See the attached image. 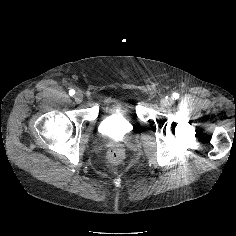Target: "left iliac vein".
I'll use <instances>...</instances> for the list:
<instances>
[{"label": "left iliac vein", "mask_w": 236, "mask_h": 236, "mask_svg": "<svg viewBox=\"0 0 236 236\" xmlns=\"http://www.w3.org/2000/svg\"><path fill=\"white\" fill-rule=\"evenodd\" d=\"M173 99L172 98H163L161 100V105L164 106V107H168V106H171L173 104Z\"/></svg>", "instance_id": "4c4485c4"}]
</instances>
